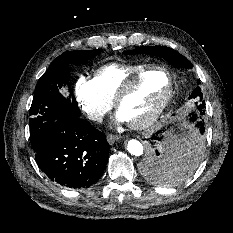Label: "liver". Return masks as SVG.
Returning <instances> with one entry per match:
<instances>
[{
    "mask_svg": "<svg viewBox=\"0 0 233 233\" xmlns=\"http://www.w3.org/2000/svg\"><path fill=\"white\" fill-rule=\"evenodd\" d=\"M60 92L63 94V96H67L68 95V91H67V89L66 88H62L61 90H60Z\"/></svg>",
    "mask_w": 233,
    "mask_h": 233,
    "instance_id": "6515ba94",
    "label": "liver"
}]
</instances>
